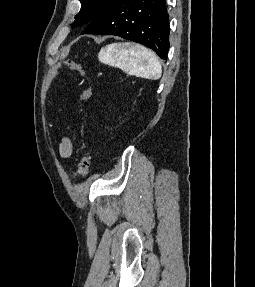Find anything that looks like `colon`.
<instances>
[{
    "mask_svg": "<svg viewBox=\"0 0 255 287\" xmlns=\"http://www.w3.org/2000/svg\"><path fill=\"white\" fill-rule=\"evenodd\" d=\"M65 65L72 71H75L79 73L81 76L86 77L85 70L79 64L68 60L65 61ZM90 96H91V88L87 87L82 91L80 98L82 100H87ZM90 164H91L90 156L87 153H83L78 165L79 173L83 178H86L89 175Z\"/></svg>",
    "mask_w": 255,
    "mask_h": 287,
    "instance_id": "colon-1",
    "label": "colon"
}]
</instances>
